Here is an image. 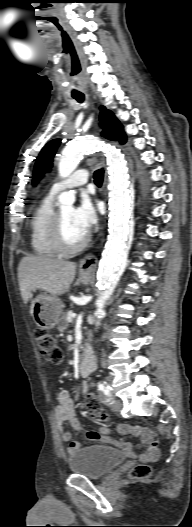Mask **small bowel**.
<instances>
[{"label":"small bowel","instance_id":"1","mask_svg":"<svg viewBox=\"0 0 192 527\" xmlns=\"http://www.w3.org/2000/svg\"><path fill=\"white\" fill-rule=\"evenodd\" d=\"M55 418L56 427L60 437L64 442H69L68 453L73 454L80 448V443L78 441L72 440L73 432L64 430L63 424L65 422L70 423L73 430L77 432L81 430V424L76 417L74 401L68 391H61L58 394V403L55 406ZM116 427L119 429L120 434L115 432L113 434L115 439L110 436L109 429L105 425H101L98 432L92 431L90 434L85 432L83 437L91 441H100L118 446L129 453L130 459L135 460L138 457L137 452H135L134 447L124 439L127 437V435L137 434L142 438V444L146 446V450L141 455L140 461L142 463L147 461L149 464H154L156 462L155 456L157 454V450L154 447L149 446L147 443V436L150 433L148 427H143L141 423H134L133 426H131L129 421H124L123 423L118 422ZM119 437L122 439H118Z\"/></svg>","mask_w":192,"mask_h":527}]
</instances>
